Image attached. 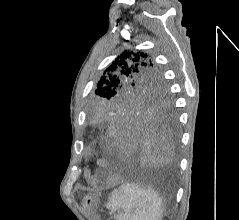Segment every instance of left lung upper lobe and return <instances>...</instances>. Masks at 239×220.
I'll return each instance as SVG.
<instances>
[{
	"instance_id": "left-lung-upper-lobe-1",
	"label": "left lung upper lobe",
	"mask_w": 239,
	"mask_h": 220,
	"mask_svg": "<svg viewBox=\"0 0 239 220\" xmlns=\"http://www.w3.org/2000/svg\"><path fill=\"white\" fill-rule=\"evenodd\" d=\"M95 94L88 106L89 121L94 125L99 113L112 107L173 112L161 70L143 52L119 55L105 70Z\"/></svg>"
}]
</instances>
